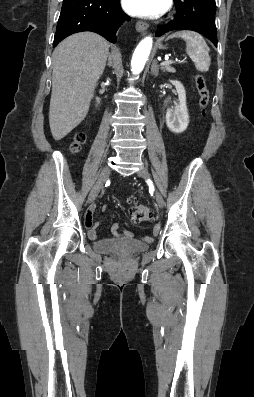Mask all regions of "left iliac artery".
Returning a JSON list of instances; mask_svg holds the SVG:
<instances>
[{"label": "left iliac artery", "mask_w": 254, "mask_h": 397, "mask_svg": "<svg viewBox=\"0 0 254 397\" xmlns=\"http://www.w3.org/2000/svg\"><path fill=\"white\" fill-rule=\"evenodd\" d=\"M148 182L151 184L152 182L150 180H148Z\"/></svg>", "instance_id": "1"}]
</instances>
